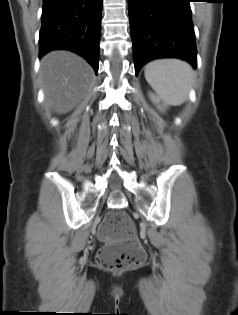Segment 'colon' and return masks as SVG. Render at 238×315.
Listing matches in <instances>:
<instances>
[{
    "label": "colon",
    "instance_id": "1",
    "mask_svg": "<svg viewBox=\"0 0 238 315\" xmlns=\"http://www.w3.org/2000/svg\"><path fill=\"white\" fill-rule=\"evenodd\" d=\"M106 245L99 251L97 262L110 270H124L142 264L145 251L130 217L122 211L109 212L98 231Z\"/></svg>",
    "mask_w": 238,
    "mask_h": 315
}]
</instances>
